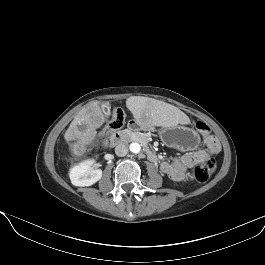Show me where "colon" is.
<instances>
[{
	"instance_id": "5ec220e1",
	"label": "colon",
	"mask_w": 265,
	"mask_h": 265,
	"mask_svg": "<svg viewBox=\"0 0 265 265\" xmlns=\"http://www.w3.org/2000/svg\"><path fill=\"white\" fill-rule=\"evenodd\" d=\"M125 120V112L120 108H115L109 116L107 128L99 134L100 141H104L111 131L123 128ZM196 129L204 135L205 139L209 138V129L205 123L197 122ZM216 167L217 160L214 157H208L194 167L193 178L199 183H205L214 173Z\"/></svg>"
}]
</instances>
